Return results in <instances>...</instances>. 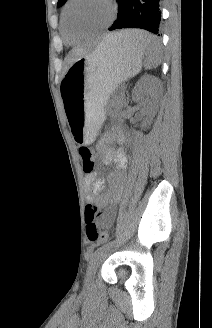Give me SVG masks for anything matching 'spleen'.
<instances>
[{
  "label": "spleen",
  "mask_w": 212,
  "mask_h": 328,
  "mask_svg": "<svg viewBox=\"0 0 212 328\" xmlns=\"http://www.w3.org/2000/svg\"><path fill=\"white\" fill-rule=\"evenodd\" d=\"M117 37L118 43L127 48L140 49L145 52L144 66L146 69L156 68L160 63V46L156 44L154 46L147 45L153 37L148 32L143 30H129L114 33Z\"/></svg>",
  "instance_id": "3e777b00"
}]
</instances>
